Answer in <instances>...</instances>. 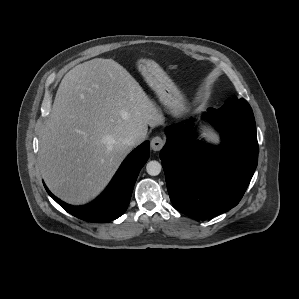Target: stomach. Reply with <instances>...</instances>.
I'll use <instances>...</instances> for the list:
<instances>
[{
	"label": "stomach",
	"instance_id": "1",
	"mask_svg": "<svg viewBox=\"0 0 299 299\" xmlns=\"http://www.w3.org/2000/svg\"><path fill=\"white\" fill-rule=\"evenodd\" d=\"M139 69L147 83L158 92L161 100L173 115L178 116L185 111V106L178 89L155 62H143L139 65ZM162 88H164V93L166 94L165 98L161 92Z\"/></svg>",
	"mask_w": 299,
	"mask_h": 299
}]
</instances>
